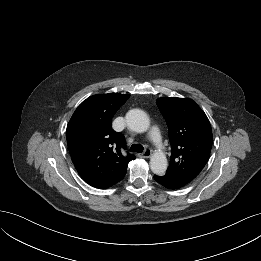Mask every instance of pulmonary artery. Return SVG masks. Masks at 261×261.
<instances>
[{
  "label": "pulmonary artery",
  "instance_id": "1",
  "mask_svg": "<svg viewBox=\"0 0 261 261\" xmlns=\"http://www.w3.org/2000/svg\"><path fill=\"white\" fill-rule=\"evenodd\" d=\"M149 137L157 147H162L160 132L156 126L151 128Z\"/></svg>",
  "mask_w": 261,
  "mask_h": 261
}]
</instances>
